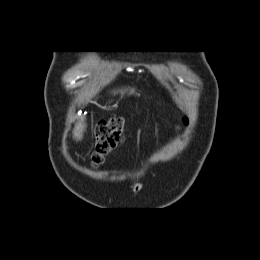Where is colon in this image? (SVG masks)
Listing matches in <instances>:
<instances>
[{
    "label": "colon",
    "mask_w": 260,
    "mask_h": 260,
    "mask_svg": "<svg viewBox=\"0 0 260 260\" xmlns=\"http://www.w3.org/2000/svg\"><path fill=\"white\" fill-rule=\"evenodd\" d=\"M126 124L122 118L100 121L95 129V151L92 157L94 166L101 165L107 155L123 143Z\"/></svg>",
    "instance_id": "colon-1"
}]
</instances>
